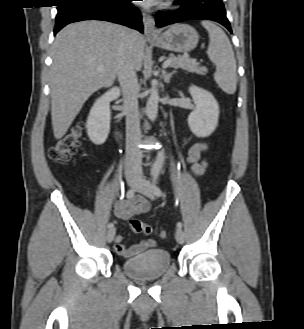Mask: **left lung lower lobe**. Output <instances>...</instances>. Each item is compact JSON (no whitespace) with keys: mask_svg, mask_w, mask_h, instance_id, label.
<instances>
[{"mask_svg":"<svg viewBox=\"0 0 304 329\" xmlns=\"http://www.w3.org/2000/svg\"><path fill=\"white\" fill-rule=\"evenodd\" d=\"M181 7L173 12H157L156 25H165L191 20L207 19L225 26L232 33L226 11L221 0H179Z\"/></svg>","mask_w":304,"mask_h":329,"instance_id":"left-lung-lower-lobe-1","label":"left lung lower lobe"}]
</instances>
